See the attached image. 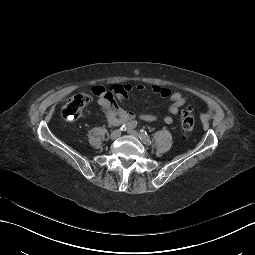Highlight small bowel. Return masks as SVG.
I'll list each match as a JSON object with an SVG mask.
<instances>
[{
    "instance_id": "1",
    "label": "small bowel",
    "mask_w": 255,
    "mask_h": 255,
    "mask_svg": "<svg viewBox=\"0 0 255 255\" xmlns=\"http://www.w3.org/2000/svg\"><path fill=\"white\" fill-rule=\"evenodd\" d=\"M132 89L133 87L129 84L123 86L115 84L109 89H105L102 86L92 87L91 91L97 97V103L100 106L101 112L111 125H120L135 118L147 122H155L160 119L157 115L137 114L132 110L121 108L117 105L113 95H118L122 102H125L128 99L127 93ZM137 89L141 91L145 87L140 84L137 86ZM151 89L154 94L170 101L169 112L171 115L164 116L161 120L166 124H171L174 121L173 116L177 115L180 107L186 103V97L181 92L173 91L167 87L154 85Z\"/></svg>"
}]
</instances>
